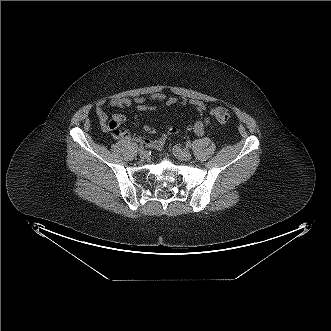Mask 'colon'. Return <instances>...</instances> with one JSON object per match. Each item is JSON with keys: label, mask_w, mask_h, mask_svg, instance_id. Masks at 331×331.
Returning a JSON list of instances; mask_svg holds the SVG:
<instances>
[{"label": "colon", "mask_w": 331, "mask_h": 331, "mask_svg": "<svg viewBox=\"0 0 331 331\" xmlns=\"http://www.w3.org/2000/svg\"><path fill=\"white\" fill-rule=\"evenodd\" d=\"M211 115L221 124H228L232 118L230 110L222 106L212 108Z\"/></svg>", "instance_id": "obj_1"}]
</instances>
